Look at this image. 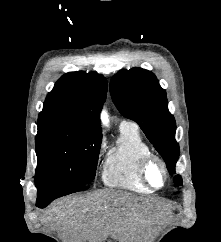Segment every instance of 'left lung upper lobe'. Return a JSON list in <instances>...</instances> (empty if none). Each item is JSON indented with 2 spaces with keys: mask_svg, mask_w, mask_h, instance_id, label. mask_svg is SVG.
I'll use <instances>...</instances> for the list:
<instances>
[{
  "mask_svg": "<svg viewBox=\"0 0 221 242\" xmlns=\"http://www.w3.org/2000/svg\"><path fill=\"white\" fill-rule=\"evenodd\" d=\"M110 93L120 113L138 123L163 157L168 171L175 174L179 157L176 123L168 111L166 93L156 76L141 68L121 70L111 79ZM174 184L182 185L180 175L174 177Z\"/></svg>",
  "mask_w": 221,
  "mask_h": 242,
  "instance_id": "1",
  "label": "left lung upper lobe"
}]
</instances>
